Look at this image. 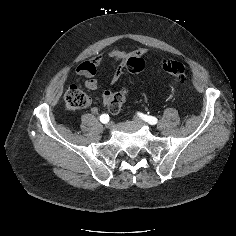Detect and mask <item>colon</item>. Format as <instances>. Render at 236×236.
Instances as JSON below:
<instances>
[{
	"label": "colon",
	"instance_id": "colon-1",
	"mask_svg": "<svg viewBox=\"0 0 236 236\" xmlns=\"http://www.w3.org/2000/svg\"><path fill=\"white\" fill-rule=\"evenodd\" d=\"M127 68L131 73H139L145 69V62L138 57H131L127 62ZM163 70L169 74L176 82L183 83L186 78L185 66L176 60H168L163 66ZM126 98V91L121 90L111 97L108 103V109L111 113H117L122 108ZM66 107L71 110H79L88 106V96L77 86H69L64 94Z\"/></svg>",
	"mask_w": 236,
	"mask_h": 236
}]
</instances>
